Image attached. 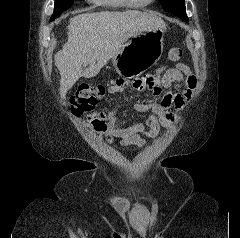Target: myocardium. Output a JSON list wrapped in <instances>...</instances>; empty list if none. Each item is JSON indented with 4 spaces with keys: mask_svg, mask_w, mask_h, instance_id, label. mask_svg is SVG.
<instances>
[{
    "mask_svg": "<svg viewBox=\"0 0 240 238\" xmlns=\"http://www.w3.org/2000/svg\"><path fill=\"white\" fill-rule=\"evenodd\" d=\"M122 3L127 7H135V6H146L153 3L156 0H146V1H132V0H121Z\"/></svg>",
    "mask_w": 240,
    "mask_h": 238,
    "instance_id": "myocardium-1",
    "label": "myocardium"
}]
</instances>
